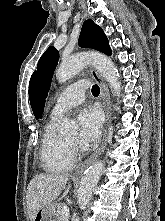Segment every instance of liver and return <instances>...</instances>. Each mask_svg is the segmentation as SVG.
I'll list each match as a JSON object with an SVG mask.
<instances>
[{
  "label": "liver",
  "mask_w": 165,
  "mask_h": 221,
  "mask_svg": "<svg viewBox=\"0 0 165 221\" xmlns=\"http://www.w3.org/2000/svg\"><path fill=\"white\" fill-rule=\"evenodd\" d=\"M68 180L69 175L39 174L30 181L26 194L27 211L30 221H34L40 209L56 200L62 190L65 189V192L59 200L67 195L71 188V185H68L66 188Z\"/></svg>",
  "instance_id": "6515ba94"
}]
</instances>
